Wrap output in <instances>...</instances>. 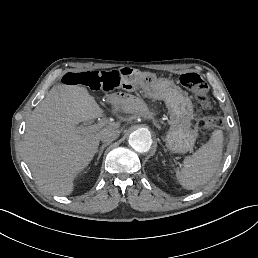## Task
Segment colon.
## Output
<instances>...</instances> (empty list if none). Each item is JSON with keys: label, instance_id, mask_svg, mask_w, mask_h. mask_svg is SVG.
I'll return each instance as SVG.
<instances>
[{"label": "colon", "instance_id": "obj_1", "mask_svg": "<svg viewBox=\"0 0 258 258\" xmlns=\"http://www.w3.org/2000/svg\"><path fill=\"white\" fill-rule=\"evenodd\" d=\"M181 84L193 91L199 102L205 106L210 105L208 86L201 76L195 72L181 75ZM62 83L70 86H83L92 91L111 92L124 85L118 76L117 70H101L86 72H69L62 77ZM125 86V85H124ZM213 123L217 121L213 120Z\"/></svg>", "mask_w": 258, "mask_h": 258}]
</instances>
